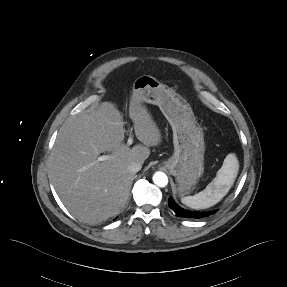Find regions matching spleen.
I'll list each match as a JSON object with an SVG mask.
<instances>
[{
  "label": "spleen",
  "mask_w": 287,
  "mask_h": 287,
  "mask_svg": "<svg viewBox=\"0 0 287 287\" xmlns=\"http://www.w3.org/2000/svg\"><path fill=\"white\" fill-rule=\"evenodd\" d=\"M239 170V162L235 154L230 153L224 159L216 177L206 188L194 196H186L181 202L192 209H206L214 206L229 192Z\"/></svg>",
  "instance_id": "1"
}]
</instances>
